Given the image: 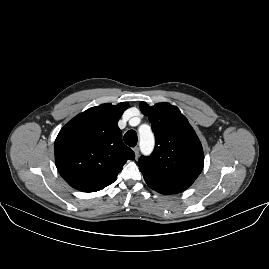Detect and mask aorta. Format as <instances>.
Here are the masks:
<instances>
[{
    "label": "aorta",
    "instance_id": "aorta-1",
    "mask_svg": "<svg viewBox=\"0 0 269 269\" xmlns=\"http://www.w3.org/2000/svg\"><path fill=\"white\" fill-rule=\"evenodd\" d=\"M139 148L143 155H150L154 149L155 138L151 130V127L147 124H143L139 127Z\"/></svg>",
    "mask_w": 269,
    "mask_h": 269
}]
</instances>
